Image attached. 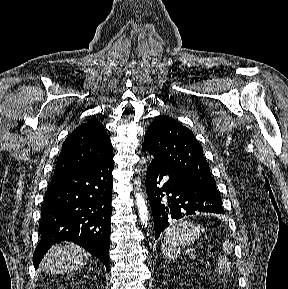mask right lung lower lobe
Wrapping results in <instances>:
<instances>
[{
    "mask_svg": "<svg viewBox=\"0 0 288 289\" xmlns=\"http://www.w3.org/2000/svg\"><path fill=\"white\" fill-rule=\"evenodd\" d=\"M113 168L111 156L92 167L54 173L41 208L35 268L54 243L69 240L108 269Z\"/></svg>",
    "mask_w": 288,
    "mask_h": 289,
    "instance_id": "1",
    "label": "right lung lower lobe"
}]
</instances>
